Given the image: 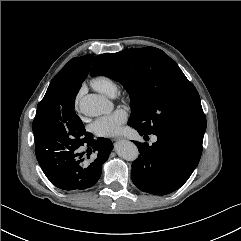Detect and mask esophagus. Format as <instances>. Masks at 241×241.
Instances as JSON below:
<instances>
[{
  "label": "esophagus",
  "mask_w": 241,
  "mask_h": 241,
  "mask_svg": "<svg viewBox=\"0 0 241 241\" xmlns=\"http://www.w3.org/2000/svg\"><path fill=\"white\" fill-rule=\"evenodd\" d=\"M120 140H123V138L122 137H116V138L113 139V141H115V142H118Z\"/></svg>",
  "instance_id": "esophagus-1"
}]
</instances>
